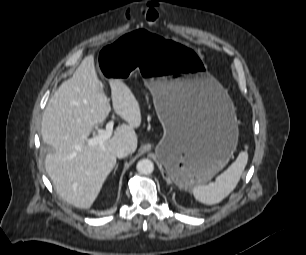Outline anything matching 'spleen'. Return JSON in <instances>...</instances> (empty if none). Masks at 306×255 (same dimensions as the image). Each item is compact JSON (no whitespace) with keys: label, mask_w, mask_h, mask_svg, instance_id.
I'll return each mask as SVG.
<instances>
[{"label":"spleen","mask_w":306,"mask_h":255,"mask_svg":"<svg viewBox=\"0 0 306 255\" xmlns=\"http://www.w3.org/2000/svg\"><path fill=\"white\" fill-rule=\"evenodd\" d=\"M247 161V151L240 152L235 162H233L223 173L217 176L214 182L207 185L194 186L192 189L194 197L198 201L207 205L221 202L238 184Z\"/></svg>","instance_id":"1"}]
</instances>
